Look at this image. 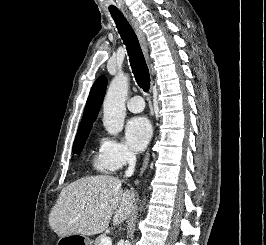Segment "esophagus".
<instances>
[{
  "mask_svg": "<svg viewBox=\"0 0 266 245\" xmlns=\"http://www.w3.org/2000/svg\"><path fill=\"white\" fill-rule=\"evenodd\" d=\"M129 19H130V22L132 24V27L134 28L135 32H136V35L139 39V42H140V45H141V48L144 52V55L147 59V61L149 62L150 64V56H149V49H148V44H147V41H146V38H145V35L142 31V29L140 28V25L138 23V21L132 17L131 15H128ZM150 68H151V71H152V74H153V68L152 66L150 65ZM149 158H150V154L149 152L145 155V158H144V161H143V164H142V168L140 170V175H142V173L145 171V169L147 168L148 166V163H149Z\"/></svg>",
  "mask_w": 266,
  "mask_h": 245,
  "instance_id": "34e87169",
  "label": "esophagus"
}]
</instances>
